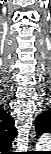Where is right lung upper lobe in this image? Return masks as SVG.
<instances>
[{"label": "right lung upper lobe", "mask_w": 51, "mask_h": 154, "mask_svg": "<svg viewBox=\"0 0 51 154\" xmlns=\"http://www.w3.org/2000/svg\"><path fill=\"white\" fill-rule=\"evenodd\" d=\"M3 119L6 122V126L8 127V130L10 133H12L11 135H14V120L13 118L8 114V113H4L3 115Z\"/></svg>", "instance_id": "1"}]
</instances>
